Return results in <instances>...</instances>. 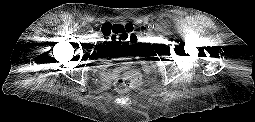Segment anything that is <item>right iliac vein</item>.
Segmentation results:
<instances>
[{"label": "right iliac vein", "instance_id": "63e3f726", "mask_svg": "<svg viewBox=\"0 0 255 122\" xmlns=\"http://www.w3.org/2000/svg\"><path fill=\"white\" fill-rule=\"evenodd\" d=\"M91 33H92L93 36H96V35H97V34L93 31V29H92Z\"/></svg>", "mask_w": 255, "mask_h": 122}]
</instances>
